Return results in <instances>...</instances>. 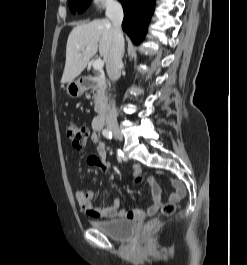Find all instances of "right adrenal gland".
<instances>
[{
	"label": "right adrenal gland",
	"mask_w": 247,
	"mask_h": 265,
	"mask_svg": "<svg viewBox=\"0 0 247 265\" xmlns=\"http://www.w3.org/2000/svg\"><path fill=\"white\" fill-rule=\"evenodd\" d=\"M124 52H125V51H123L122 57L124 56Z\"/></svg>",
	"instance_id": "2a0ac1e0"
}]
</instances>
